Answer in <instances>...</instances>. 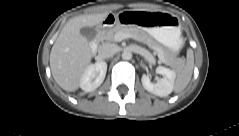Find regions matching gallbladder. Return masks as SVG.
I'll use <instances>...</instances> for the list:
<instances>
[{
    "label": "gallbladder",
    "instance_id": "obj_1",
    "mask_svg": "<svg viewBox=\"0 0 239 136\" xmlns=\"http://www.w3.org/2000/svg\"><path fill=\"white\" fill-rule=\"evenodd\" d=\"M80 33L84 38L90 41L96 36V31L93 27H82Z\"/></svg>",
    "mask_w": 239,
    "mask_h": 136
}]
</instances>
